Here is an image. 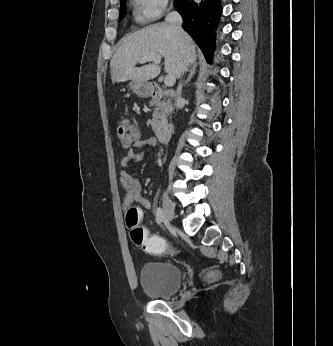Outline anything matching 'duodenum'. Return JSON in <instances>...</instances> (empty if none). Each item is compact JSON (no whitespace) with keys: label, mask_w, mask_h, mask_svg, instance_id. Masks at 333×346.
I'll list each match as a JSON object with an SVG mask.
<instances>
[{"label":"duodenum","mask_w":333,"mask_h":346,"mask_svg":"<svg viewBox=\"0 0 333 346\" xmlns=\"http://www.w3.org/2000/svg\"><path fill=\"white\" fill-rule=\"evenodd\" d=\"M151 95L156 98H173L175 96V92L172 90H164L160 88L159 86H152L151 87ZM174 125L173 123H166L164 125H161L156 130V136L159 142H166L169 140L172 132H173Z\"/></svg>","instance_id":"410a0bca"}]
</instances>
